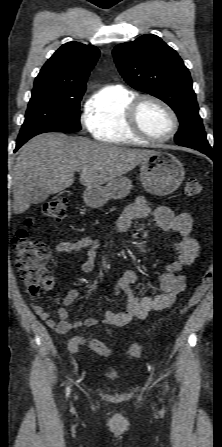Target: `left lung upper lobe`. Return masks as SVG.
<instances>
[{"label":"left lung upper lobe","instance_id":"obj_1","mask_svg":"<svg viewBox=\"0 0 222 447\" xmlns=\"http://www.w3.org/2000/svg\"><path fill=\"white\" fill-rule=\"evenodd\" d=\"M118 70L134 89L167 103L177 114L180 128L175 142L190 148H207L202 119L189 70L177 52L158 36L145 34L113 50Z\"/></svg>","mask_w":222,"mask_h":447}]
</instances>
